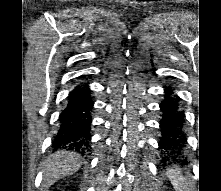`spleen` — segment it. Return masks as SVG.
I'll list each match as a JSON object with an SVG mask.
<instances>
[{
    "label": "spleen",
    "mask_w": 221,
    "mask_h": 191,
    "mask_svg": "<svg viewBox=\"0 0 221 191\" xmlns=\"http://www.w3.org/2000/svg\"><path fill=\"white\" fill-rule=\"evenodd\" d=\"M167 176L173 185L175 191H186L187 183L178 169H170L167 172Z\"/></svg>",
    "instance_id": "spleen-1"
}]
</instances>
